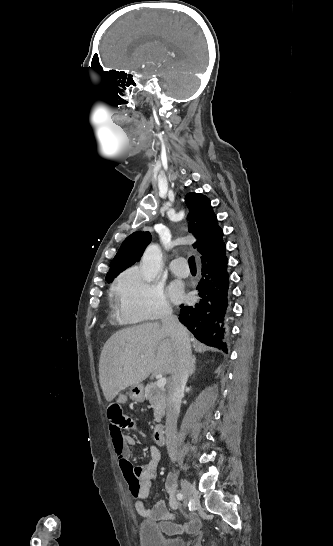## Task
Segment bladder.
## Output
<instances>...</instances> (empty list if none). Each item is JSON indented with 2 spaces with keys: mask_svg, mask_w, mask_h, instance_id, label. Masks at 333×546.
<instances>
[{
  "mask_svg": "<svg viewBox=\"0 0 333 546\" xmlns=\"http://www.w3.org/2000/svg\"><path fill=\"white\" fill-rule=\"evenodd\" d=\"M139 539L141 546H187L182 537L164 536L160 525L151 521H144L139 525Z\"/></svg>",
  "mask_w": 333,
  "mask_h": 546,
  "instance_id": "1",
  "label": "bladder"
}]
</instances>
